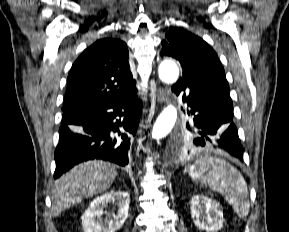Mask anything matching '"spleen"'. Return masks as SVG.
I'll return each mask as SVG.
<instances>
[{
	"instance_id": "obj_1",
	"label": "spleen",
	"mask_w": 289,
	"mask_h": 232,
	"mask_svg": "<svg viewBox=\"0 0 289 232\" xmlns=\"http://www.w3.org/2000/svg\"><path fill=\"white\" fill-rule=\"evenodd\" d=\"M192 178L225 196L226 201L241 218L248 215V188L242 174L225 160L207 157L191 167Z\"/></svg>"
}]
</instances>
